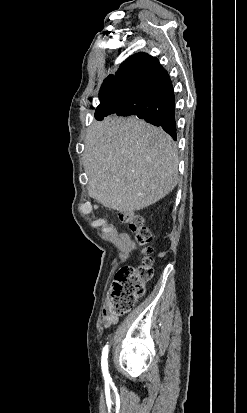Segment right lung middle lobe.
<instances>
[{
	"instance_id": "dd1d6c3e",
	"label": "right lung middle lobe",
	"mask_w": 247,
	"mask_h": 413,
	"mask_svg": "<svg viewBox=\"0 0 247 413\" xmlns=\"http://www.w3.org/2000/svg\"><path fill=\"white\" fill-rule=\"evenodd\" d=\"M111 97L133 99L136 97V90L128 82H119V83L103 82L100 92H99L100 100L104 101Z\"/></svg>"
}]
</instances>
